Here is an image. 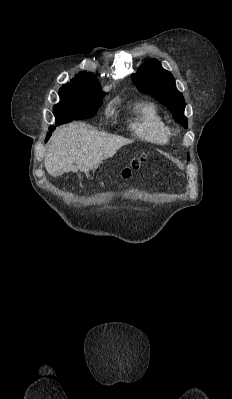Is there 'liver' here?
Instances as JSON below:
<instances>
[{
	"instance_id": "obj_1",
	"label": "liver",
	"mask_w": 232,
	"mask_h": 399,
	"mask_svg": "<svg viewBox=\"0 0 232 399\" xmlns=\"http://www.w3.org/2000/svg\"><path fill=\"white\" fill-rule=\"evenodd\" d=\"M131 142L121 136L90 130L82 122H72L54 132L44 166L50 176H63L64 172L74 170L88 174Z\"/></svg>"
}]
</instances>
